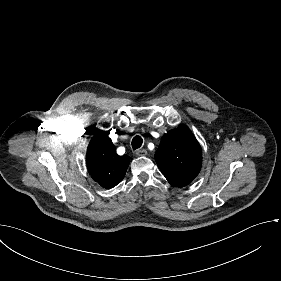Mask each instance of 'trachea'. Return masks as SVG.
I'll use <instances>...</instances> for the list:
<instances>
[{"label": "trachea", "mask_w": 281, "mask_h": 281, "mask_svg": "<svg viewBox=\"0 0 281 281\" xmlns=\"http://www.w3.org/2000/svg\"><path fill=\"white\" fill-rule=\"evenodd\" d=\"M142 143H143V140H142L141 136L137 135L133 138V140L131 142V146H132L133 150H136L142 146Z\"/></svg>", "instance_id": "trachea-1"}]
</instances>
